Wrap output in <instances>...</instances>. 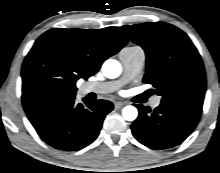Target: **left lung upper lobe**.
I'll return each instance as SVG.
<instances>
[{
  "label": "left lung upper lobe",
  "mask_w": 220,
  "mask_h": 173,
  "mask_svg": "<svg viewBox=\"0 0 220 173\" xmlns=\"http://www.w3.org/2000/svg\"><path fill=\"white\" fill-rule=\"evenodd\" d=\"M119 29L145 50L143 81L156 88L161 102L202 112L205 70L189 37L165 22L125 25Z\"/></svg>",
  "instance_id": "left-lung-upper-lobe-1"
}]
</instances>
